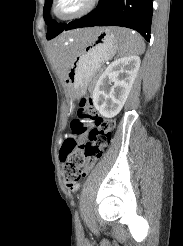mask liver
I'll list each match as a JSON object with an SVG mask.
<instances>
[{"mask_svg": "<svg viewBox=\"0 0 183 246\" xmlns=\"http://www.w3.org/2000/svg\"><path fill=\"white\" fill-rule=\"evenodd\" d=\"M98 28L92 29H80L76 31H72L55 40L51 44V54L53 60L58 68L59 75L61 79H64L67 76L68 70L71 66V56L67 53L64 48V41L69 37H75L81 39L83 41H88L92 39V37L97 32Z\"/></svg>", "mask_w": 183, "mask_h": 246, "instance_id": "liver-1", "label": "liver"}]
</instances>
